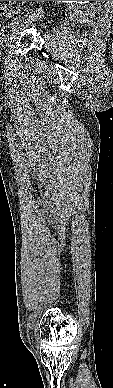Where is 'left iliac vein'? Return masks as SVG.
Here are the masks:
<instances>
[{"label": "left iliac vein", "mask_w": 113, "mask_h": 388, "mask_svg": "<svg viewBox=\"0 0 113 388\" xmlns=\"http://www.w3.org/2000/svg\"><path fill=\"white\" fill-rule=\"evenodd\" d=\"M42 16V13H39V17ZM36 18V19H37ZM36 19L34 20H31V19H27L25 24L26 25H30L33 21H35ZM25 25H22V24H12L11 26V29H10V33L8 34V37H7V40H6V44H5V47H9L17 38V35L19 34V32L22 30V28L24 27Z\"/></svg>", "instance_id": "4c4485c4"}]
</instances>
